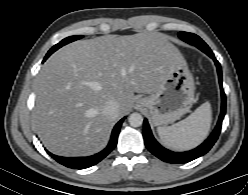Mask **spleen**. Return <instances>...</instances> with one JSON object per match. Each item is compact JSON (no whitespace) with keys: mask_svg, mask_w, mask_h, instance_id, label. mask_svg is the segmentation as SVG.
Masks as SVG:
<instances>
[{"mask_svg":"<svg viewBox=\"0 0 248 195\" xmlns=\"http://www.w3.org/2000/svg\"><path fill=\"white\" fill-rule=\"evenodd\" d=\"M211 122V105L205 102L184 120L168 127H158L157 132L164 146L184 151L196 147L207 137Z\"/></svg>","mask_w":248,"mask_h":195,"instance_id":"1","label":"spleen"}]
</instances>
